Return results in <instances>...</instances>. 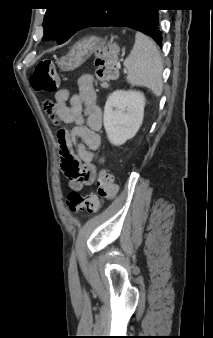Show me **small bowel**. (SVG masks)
I'll list each match as a JSON object with an SVG mask.
<instances>
[{"instance_id":"1","label":"small bowel","mask_w":213,"mask_h":338,"mask_svg":"<svg viewBox=\"0 0 213 338\" xmlns=\"http://www.w3.org/2000/svg\"><path fill=\"white\" fill-rule=\"evenodd\" d=\"M77 84L78 92L71 97L68 89L59 90L49 112L64 124L73 125L59 135V144L60 148H69L73 157L83 164L74 176L68 177L70 187L80 191L94 179L93 152L100 145L98 131L102 124V110L97 104L93 78L82 76Z\"/></svg>"}]
</instances>
